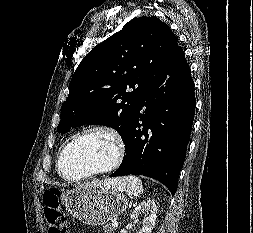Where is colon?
I'll return each mask as SVG.
<instances>
[{"mask_svg": "<svg viewBox=\"0 0 253 233\" xmlns=\"http://www.w3.org/2000/svg\"><path fill=\"white\" fill-rule=\"evenodd\" d=\"M43 211L49 233H66V219L59 202V191L51 188L44 192Z\"/></svg>", "mask_w": 253, "mask_h": 233, "instance_id": "obj_1", "label": "colon"}]
</instances>
